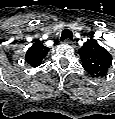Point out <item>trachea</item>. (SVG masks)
I'll return each instance as SVG.
<instances>
[{
	"label": "trachea",
	"mask_w": 115,
	"mask_h": 119,
	"mask_svg": "<svg viewBox=\"0 0 115 119\" xmlns=\"http://www.w3.org/2000/svg\"><path fill=\"white\" fill-rule=\"evenodd\" d=\"M73 34L69 29H64L61 34V41H64L66 39H72Z\"/></svg>",
	"instance_id": "obj_1"
}]
</instances>
